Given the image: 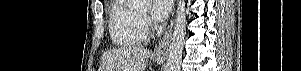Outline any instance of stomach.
I'll return each mask as SVG.
<instances>
[{
	"label": "stomach",
	"mask_w": 301,
	"mask_h": 71,
	"mask_svg": "<svg viewBox=\"0 0 301 71\" xmlns=\"http://www.w3.org/2000/svg\"><path fill=\"white\" fill-rule=\"evenodd\" d=\"M158 63H161L163 60L162 59H155Z\"/></svg>",
	"instance_id": "0dacf381"
}]
</instances>
